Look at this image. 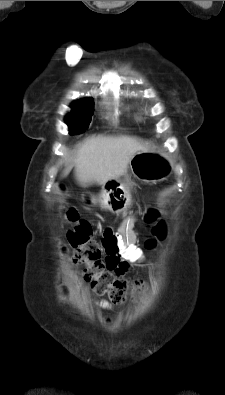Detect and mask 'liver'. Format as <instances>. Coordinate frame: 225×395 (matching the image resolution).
Instances as JSON below:
<instances>
[{
	"instance_id": "6515ba94",
	"label": "liver",
	"mask_w": 225,
	"mask_h": 395,
	"mask_svg": "<svg viewBox=\"0 0 225 395\" xmlns=\"http://www.w3.org/2000/svg\"><path fill=\"white\" fill-rule=\"evenodd\" d=\"M146 151L144 145L128 136H104L87 139L78 150L63 176L75 167V176L82 186L104 185L127 173L132 157Z\"/></svg>"
}]
</instances>
